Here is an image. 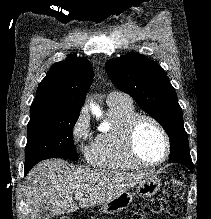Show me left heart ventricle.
Masks as SVG:
<instances>
[{
  "instance_id": "left-heart-ventricle-1",
  "label": "left heart ventricle",
  "mask_w": 211,
  "mask_h": 219,
  "mask_svg": "<svg viewBox=\"0 0 211 219\" xmlns=\"http://www.w3.org/2000/svg\"><path fill=\"white\" fill-rule=\"evenodd\" d=\"M136 148L140 158L147 163L158 162L163 157L164 139L153 123H140L136 132Z\"/></svg>"
}]
</instances>
